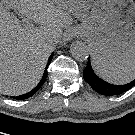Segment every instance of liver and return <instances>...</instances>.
Returning a JSON list of instances; mask_svg holds the SVG:
<instances>
[{
  "label": "liver",
  "instance_id": "6515ba94",
  "mask_svg": "<svg viewBox=\"0 0 135 135\" xmlns=\"http://www.w3.org/2000/svg\"><path fill=\"white\" fill-rule=\"evenodd\" d=\"M73 22L55 0H0V93L32 90L62 30Z\"/></svg>",
  "mask_w": 135,
  "mask_h": 135
}]
</instances>
